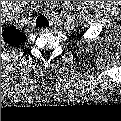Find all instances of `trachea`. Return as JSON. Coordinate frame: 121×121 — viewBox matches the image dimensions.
I'll return each mask as SVG.
<instances>
[{
	"label": "trachea",
	"instance_id": "1",
	"mask_svg": "<svg viewBox=\"0 0 121 121\" xmlns=\"http://www.w3.org/2000/svg\"><path fill=\"white\" fill-rule=\"evenodd\" d=\"M49 25V22L47 20V18L43 15H40L37 17L36 19V26L37 27H47Z\"/></svg>",
	"mask_w": 121,
	"mask_h": 121
}]
</instances>
